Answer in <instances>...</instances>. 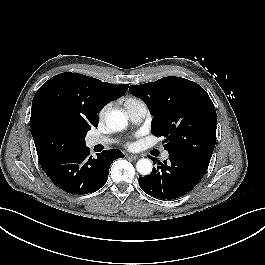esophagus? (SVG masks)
<instances>
[{"mask_svg": "<svg viewBox=\"0 0 265 265\" xmlns=\"http://www.w3.org/2000/svg\"><path fill=\"white\" fill-rule=\"evenodd\" d=\"M128 158H131L132 160H137L139 158L138 155H134V154H129Z\"/></svg>", "mask_w": 265, "mask_h": 265, "instance_id": "34e87169", "label": "esophagus"}]
</instances>
